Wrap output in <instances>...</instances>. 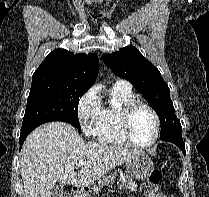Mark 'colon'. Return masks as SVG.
<instances>
[{
  "instance_id": "5ec220e1",
  "label": "colon",
  "mask_w": 209,
  "mask_h": 197,
  "mask_svg": "<svg viewBox=\"0 0 209 197\" xmlns=\"http://www.w3.org/2000/svg\"><path fill=\"white\" fill-rule=\"evenodd\" d=\"M162 179V173L159 170H154L149 179L141 186V191L145 197H167L159 190V184ZM60 197H70L68 193H62Z\"/></svg>"
}]
</instances>
